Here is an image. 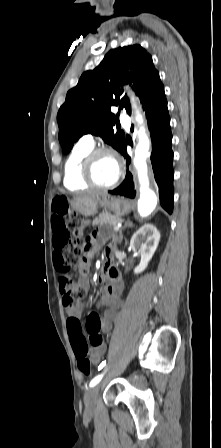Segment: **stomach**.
<instances>
[{
    "mask_svg": "<svg viewBox=\"0 0 221 448\" xmlns=\"http://www.w3.org/2000/svg\"><path fill=\"white\" fill-rule=\"evenodd\" d=\"M98 205L104 208H108L117 217L128 214L132 209V204L127 199L111 197L108 194L99 196L96 199L85 203L74 202L73 206L78 213L87 217L93 215L96 212Z\"/></svg>",
    "mask_w": 221,
    "mask_h": 448,
    "instance_id": "stomach-1",
    "label": "stomach"
}]
</instances>
